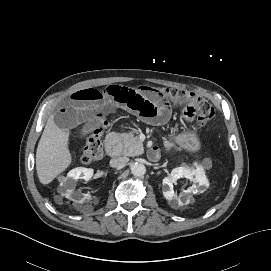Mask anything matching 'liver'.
Here are the masks:
<instances>
[{
	"instance_id": "6515ba94",
	"label": "liver",
	"mask_w": 271,
	"mask_h": 271,
	"mask_svg": "<svg viewBox=\"0 0 271 271\" xmlns=\"http://www.w3.org/2000/svg\"><path fill=\"white\" fill-rule=\"evenodd\" d=\"M72 156L68 148V134L54 121V114L47 120L36 151V170L39 181L48 184L69 167Z\"/></svg>"
}]
</instances>
